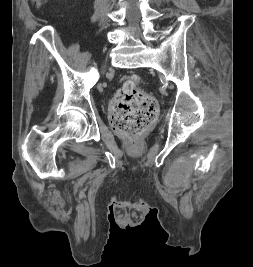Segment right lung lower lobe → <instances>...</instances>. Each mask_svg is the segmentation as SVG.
Wrapping results in <instances>:
<instances>
[{"instance_id": "right-lung-lower-lobe-1", "label": "right lung lower lobe", "mask_w": 253, "mask_h": 267, "mask_svg": "<svg viewBox=\"0 0 253 267\" xmlns=\"http://www.w3.org/2000/svg\"><path fill=\"white\" fill-rule=\"evenodd\" d=\"M156 214H157V211H152V212L150 213V216L156 217Z\"/></svg>"}]
</instances>
